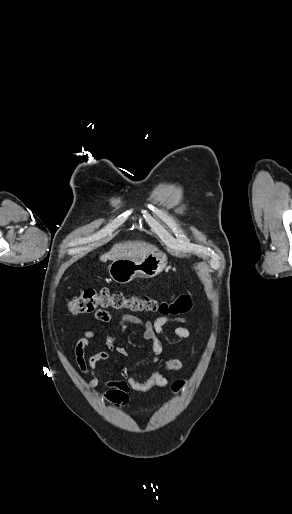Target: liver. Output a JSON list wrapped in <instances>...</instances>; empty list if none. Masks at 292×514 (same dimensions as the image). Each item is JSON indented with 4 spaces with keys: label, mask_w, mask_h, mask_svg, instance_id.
Here are the masks:
<instances>
[{
    "label": "liver",
    "mask_w": 292,
    "mask_h": 514,
    "mask_svg": "<svg viewBox=\"0 0 292 514\" xmlns=\"http://www.w3.org/2000/svg\"><path fill=\"white\" fill-rule=\"evenodd\" d=\"M150 252H157L155 246H150L146 242H123V244H115L108 254L101 256L100 260H119V258H128V260H137Z\"/></svg>",
    "instance_id": "liver-1"
}]
</instances>
